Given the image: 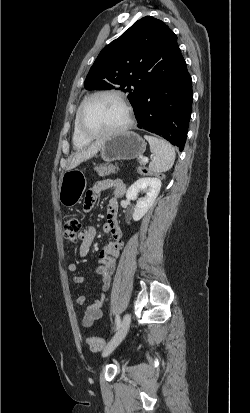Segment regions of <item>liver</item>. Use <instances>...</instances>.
Segmentation results:
<instances>
[{"instance_id": "6515ba94", "label": "liver", "mask_w": 250, "mask_h": 413, "mask_svg": "<svg viewBox=\"0 0 250 413\" xmlns=\"http://www.w3.org/2000/svg\"><path fill=\"white\" fill-rule=\"evenodd\" d=\"M102 144L103 141L98 140L92 145H90L88 148L74 153L71 157V162L67 170H71L77 167L82 162L92 158L100 150Z\"/></svg>"}]
</instances>
